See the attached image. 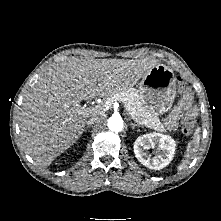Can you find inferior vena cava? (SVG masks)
<instances>
[{
    "instance_id": "inferior-vena-cava-1",
    "label": "inferior vena cava",
    "mask_w": 221,
    "mask_h": 221,
    "mask_svg": "<svg viewBox=\"0 0 221 221\" xmlns=\"http://www.w3.org/2000/svg\"><path fill=\"white\" fill-rule=\"evenodd\" d=\"M100 121V117L99 116H93L92 118H90L87 122L88 125H92L96 122Z\"/></svg>"
}]
</instances>
